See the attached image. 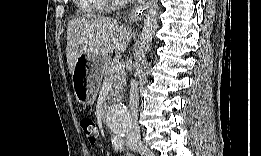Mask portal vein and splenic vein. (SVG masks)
<instances>
[{
    "mask_svg": "<svg viewBox=\"0 0 261 156\" xmlns=\"http://www.w3.org/2000/svg\"><path fill=\"white\" fill-rule=\"evenodd\" d=\"M125 70V66L121 63H117L114 67H113V72L115 73H122Z\"/></svg>",
    "mask_w": 261,
    "mask_h": 156,
    "instance_id": "1",
    "label": "portal vein and splenic vein"
}]
</instances>
